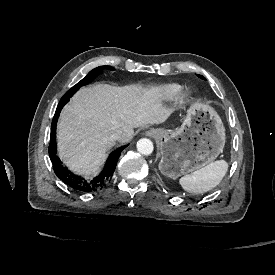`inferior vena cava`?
I'll return each mask as SVG.
<instances>
[{"mask_svg": "<svg viewBox=\"0 0 275 275\" xmlns=\"http://www.w3.org/2000/svg\"><path fill=\"white\" fill-rule=\"evenodd\" d=\"M123 131L121 129L114 131L110 134L109 138L111 140H118L120 136L122 135Z\"/></svg>", "mask_w": 275, "mask_h": 275, "instance_id": "inferior-vena-cava-1", "label": "inferior vena cava"}]
</instances>
